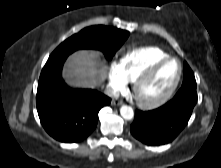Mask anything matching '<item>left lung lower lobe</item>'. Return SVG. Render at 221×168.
<instances>
[{
    "label": "left lung lower lobe",
    "mask_w": 221,
    "mask_h": 168,
    "mask_svg": "<svg viewBox=\"0 0 221 168\" xmlns=\"http://www.w3.org/2000/svg\"><path fill=\"white\" fill-rule=\"evenodd\" d=\"M196 103V85H182L165 105L150 111L136 110L130 131L147 145L170 143L188 124Z\"/></svg>",
    "instance_id": "1"
}]
</instances>
